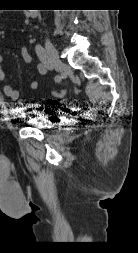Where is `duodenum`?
<instances>
[{"label":"duodenum","mask_w":138,"mask_h":253,"mask_svg":"<svg viewBox=\"0 0 138 253\" xmlns=\"http://www.w3.org/2000/svg\"><path fill=\"white\" fill-rule=\"evenodd\" d=\"M36 12H37V11H35V10H31V11L29 12V14H30L31 17H35Z\"/></svg>","instance_id":"duodenum-1"}]
</instances>
